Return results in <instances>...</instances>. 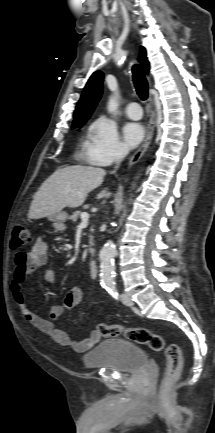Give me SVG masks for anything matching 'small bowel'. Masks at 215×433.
Wrapping results in <instances>:
<instances>
[{
    "label": "small bowel",
    "mask_w": 215,
    "mask_h": 433,
    "mask_svg": "<svg viewBox=\"0 0 215 433\" xmlns=\"http://www.w3.org/2000/svg\"><path fill=\"white\" fill-rule=\"evenodd\" d=\"M49 246L47 242L38 238L29 251H20L15 255V269L11 278V291L13 299L25 322L37 330L50 336L57 344L63 347H71L78 353L91 349L101 339L97 330L90 332L89 336L81 341H74L63 330L55 327V322L61 318L65 311L76 307L82 300L83 290L81 286L70 289L61 304L54 305L49 318L36 314L29 306L24 294L23 287L27 277L38 268L44 266L48 261ZM57 279V272L53 268L46 269L44 280L53 283ZM103 308H101L102 312Z\"/></svg>",
    "instance_id": "c3829d8e"
}]
</instances>
